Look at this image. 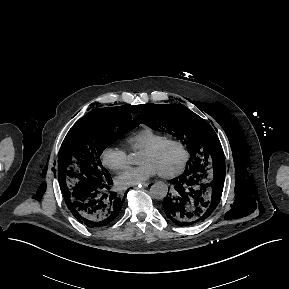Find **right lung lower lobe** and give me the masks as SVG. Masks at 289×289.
<instances>
[{"label": "right lung lower lobe", "mask_w": 289, "mask_h": 289, "mask_svg": "<svg viewBox=\"0 0 289 289\" xmlns=\"http://www.w3.org/2000/svg\"><path fill=\"white\" fill-rule=\"evenodd\" d=\"M112 179L69 196H64L68 209L82 224L101 228L113 222L122 208L125 196L111 190Z\"/></svg>", "instance_id": "right-lung-lower-lobe-1"}]
</instances>
